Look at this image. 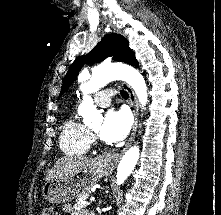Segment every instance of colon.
Instances as JSON below:
<instances>
[{
    "mask_svg": "<svg viewBox=\"0 0 221 215\" xmlns=\"http://www.w3.org/2000/svg\"><path fill=\"white\" fill-rule=\"evenodd\" d=\"M57 208L53 207V206H48L43 208L41 215H57Z\"/></svg>",
    "mask_w": 221,
    "mask_h": 215,
    "instance_id": "1",
    "label": "colon"
}]
</instances>
